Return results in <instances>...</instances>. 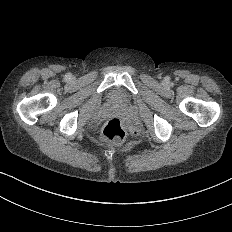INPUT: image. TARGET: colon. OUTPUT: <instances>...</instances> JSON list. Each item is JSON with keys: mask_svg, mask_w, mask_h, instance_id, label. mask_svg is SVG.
Segmentation results:
<instances>
[{"mask_svg": "<svg viewBox=\"0 0 232 232\" xmlns=\"http://www.w3.org/2000/svg\"><path fill=\"white\" fill-rule=\"evenodd\" d=\"M127 139L126 124L122 120H113L105 124L101 130V141L105 149H111V145H121Z\"/></svg>", "mask_w": 232, "mask_h": 232, "instance_id": "obj_1", "label": "colon"}]
</instances>
